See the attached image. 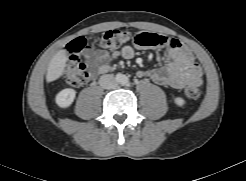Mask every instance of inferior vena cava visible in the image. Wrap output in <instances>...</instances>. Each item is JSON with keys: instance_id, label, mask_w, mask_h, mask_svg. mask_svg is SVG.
<instances>
[{"instance_id": "602c4592", "label": "inferior vena cava", "mask_w": 246, "mask_h": 181, "mask_svg": "<svg viewBox=\"0 0 246 181\" xmlns=\"http://www.w3.org/2000/svg\"><path fill=\"white\" fill-rule=\"evenodd\" d=\"M99 84L105 89H112L117 86V81L112 74H105L100 77Z\"/></svg>"}]
</instances>
